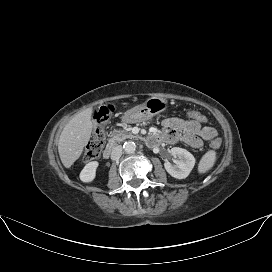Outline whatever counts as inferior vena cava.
<instances>
[{"label":"inferior vena cava","mask_w":272,"mask_h":272,"mask_svg":"<svg viewBox=\"0 0 272 272\" xmlns=\"http://www.w3.org/2000/svg\"><path fill=\"white\" fill-rule=\"evenodd\" d=\"M122 155V146H115L111 152V159L118 160Z\"/></svg>","instance_id":"inferior-vena-cava-1"}]
</instances>
